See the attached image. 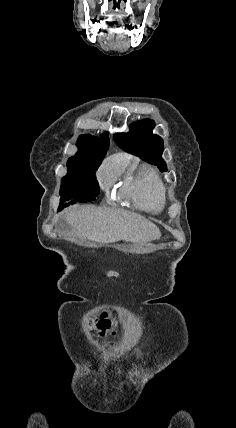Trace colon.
<instances>
[{
    "label": "colon",
    "instance_id": "obj_1",
    "mask_svg": "<svg viewBox=\"0 0 236 428\" xmlns=\"http://www.w3.org/2000/svg\"><path fill=\"white\" fill-rule=\"evenodd\" d=\"M86 324L89 329L95 328L99 330L101 334L107 333L111 328V322L106 318H101L97 322L92 319H89Z\"/></svg>",
    "mask_w": 236,
    "mask_h": 428
}]
</instances>
